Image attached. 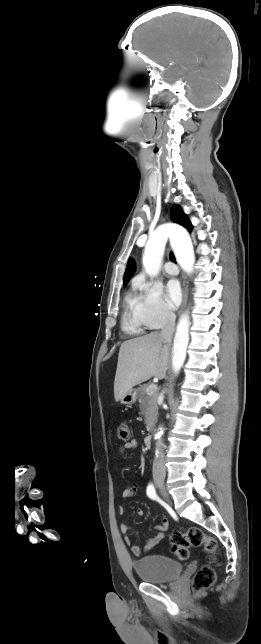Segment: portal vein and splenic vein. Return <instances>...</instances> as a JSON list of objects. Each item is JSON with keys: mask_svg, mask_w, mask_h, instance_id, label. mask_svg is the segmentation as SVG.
Instances as JSON below:
<instances>
[{"mask_svg": "<svg viewBox=\"0 0 261 644\" xmlns=\"http://www.w3.org/2000/svg\"><path fill=\"white\" fill-rule=\"evenodd\" d=\"M157 390V386L155 384H151L147 387L146 392L150 395L153 394Z\"/></svg>", "mask_w": 261, "mask_h": 644, "instance_id": "18ae733b", "label": "portal vein and splenic vein"}]
</instances>
